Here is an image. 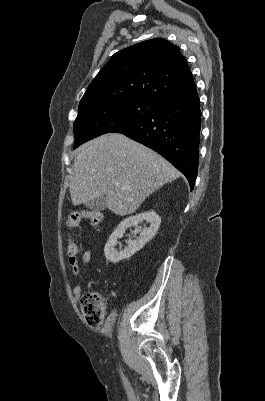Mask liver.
I'll use <instances>...</instances> for the list:
<instances>
[{
  "instance_id": "6515ba94",
  "label": "liver",
  "mask_w": 265,
  "mask_h": 401,
  "mask_svg": "<svg viewBox=\"0 0 265 401\" xmlns=\"http://www.w3.org/2000/svg\"><path fill=\"white\" fill-rule=\"evenodd\" d=\"M72 166V205L106 194V207L120 217L135 213L146 196L181 174L163 156L118 132L79 146Z\"/></svg>"
}]
</instances>
